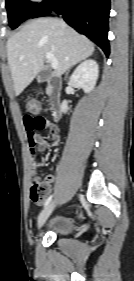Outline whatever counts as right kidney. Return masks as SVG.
I'll return each instance as SVG.
<instances>
[{
    "label": "right kidney",
    "instance_id": "obj_1",
    "mask_svg": "<svg viewBox=\"0 0 134 281\" xmlns=\"http://www.w3.org/2000/svg\"><path fill=\"white\" fill-rule=\"evenodd\" d=\"M99 74L98 64L95 60H86L81 63L70 78V84L73 87L82 88L85 93H90L97 82ZM68 110V102L64 100L61 104L63 113Z\"/></svg>",
    "mask_w": 134,
    "mask_h": 281
}]
</instances>
